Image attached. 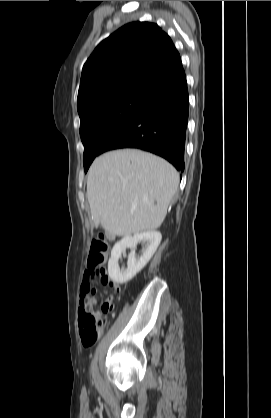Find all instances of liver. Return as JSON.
<instances>
[{"label":"liver","mask_w":271,"mask_h":418,"mask_svg":"<svg viewBox=\"0 0 271 418\" xmlns=\"http://www.w3.org/2000/svg\"><path fill=\"white\" fill-rule=\"evenodd\" d=\"M179 184V174L153 154L123 149L104 153L90 166L87 198L95 226L131 236L159 228Z\"/></svg>","instance_id":"liver-1"}]
</instances>
